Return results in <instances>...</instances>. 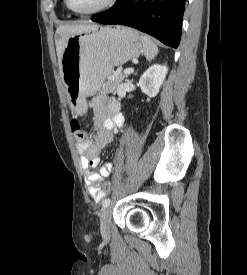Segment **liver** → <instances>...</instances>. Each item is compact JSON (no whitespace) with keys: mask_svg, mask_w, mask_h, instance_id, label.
I'll list each match as a JSON object with an SVG mask.
<instances>
[{"mask_svg":"<svg viewBox=\"0 0 247 275\" xmlns=\"http://www.w3.org/2000/svg\"><path fill=\"white\" fill-rule=\"evenodd\" d=\"M96 28H98V26L93 24L62 25L57 28L56 51H57L60 75L62 79H63V73H62L61 59H62L63 49L66 46L67 40L73 35L85 33Z\"/></svg>","mask_w":247,"mask_h":275,"instance_id":"6515ba94","label":"liver"}]
</instances>
